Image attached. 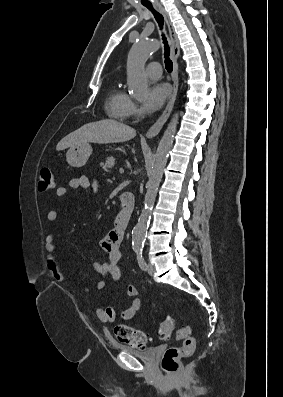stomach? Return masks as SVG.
<instances>
[{
  "label": "stomach",
  "mask_w": 283,
  "mask_h": 397,
  "mask_svg": "<svg viewBox=\"0 0 283 397\" xmlns=\"http://www.w3.org/2000/svg\"><path fill=\"white\" fill-rule=\"evenodd\" d=\"M92 154V148L89 143H82L71 147L66 154L67 162L72 167H82L86 164Z\"/></svg>",
  "instance_id": "1"
}]
</instances>
